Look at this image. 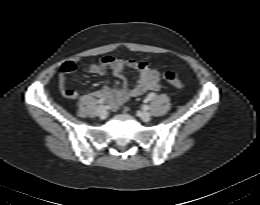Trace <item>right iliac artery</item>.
Returning a JSON list of instances; mask_svg holds the SVG:
<instances>
[{
  "label": "right iliac artery",
  "mask_w": 260,
  "mask_h": 205,
  "mask_svg": "<svg viewBox=\"0 0 260 205\" xmlns=\"http://www.w3.org/2000/svg\"><path fill=\"white\" fill-rule=\"evenodd\" d=\"M105 101H104V99H99V100H97V103L98 104H103Z\"/></svg>",
  "instance_id": "right-iliac-artery-1"
}]
</instances>
